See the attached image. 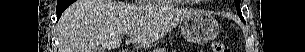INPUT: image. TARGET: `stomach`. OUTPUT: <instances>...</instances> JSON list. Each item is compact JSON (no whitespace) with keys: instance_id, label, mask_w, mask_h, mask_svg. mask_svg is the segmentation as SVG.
<instances>
[{"instance_id":"stomach-1","label":"stomach","mask_w":305,"mask_h":52,"mask_svg":"<svg viewBox=\"0 0 305 52\" xmlns=\"http://www.w3.org/2000/svg\"><path fill=\"white\" fill-rule=\"evenodd\" d=\"M218 22L204 12H193L183 19L181 24V34L193 43H207L213 40L218 33Z\"/></svg>"}]
</instances>
